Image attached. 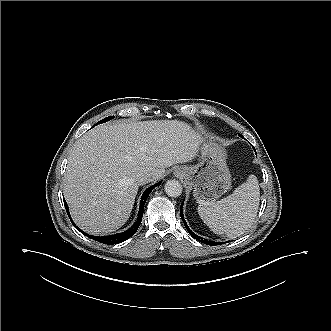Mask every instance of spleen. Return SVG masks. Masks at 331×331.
Here are the masks:
<instances>
[{
  "mask_svg": "<svg viewBox=\"0 0 331 331\" xmlns=\"http://www.w3.org/2000/svg\"><path fill=\"white\" fill-rule=\"evenodd\" d=\"M258 206V180L251 175L226 198L219 201H199L198 213L215 234H225L233 239L251 227Z\"/></svg>",
  "mask_w": 331,
  "mask_h": 331,
  "instance_id": "3e777b00",
  "label": "spleen"
}]
</instances>
